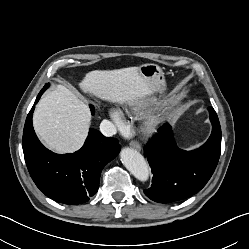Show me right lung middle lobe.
Masks as SVG:
<instances>
[{"instance_id": "dd1d6c3e", "label": "right lung middle lobe", "mask_w": 249, "mask_h": 249, "mask_svg": "<svg viewBox=\"0 0 249 249\" xmlns=\"http://www.w3.org/2000/svg\"><path fill=\"white\" fill-rule=\"evenodd\" d=\"M48 87H49V84H46L41 91L44 92ZM90 109H91L92 115H94L95 110H94V107L92 105H90Z\"/></svg>"}]
</instances>
